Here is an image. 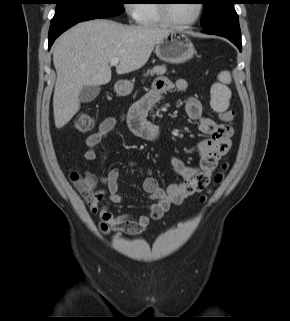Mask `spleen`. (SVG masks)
Masks as SVG:
<instances>
[{
    "mask_svg": "<svg viewBox=\"0 0 290 321\" xmlns=\"http://www.w3.org/2000/svg\"><path fill=\"white\" fill-rule=\"evenodd\" d=\"M219 83L212 85L210 94V105L216 112H224L229 107V100L231 98V90L227 84L231 83V74L228 71H223L218 75Z\"/></svg>",
    "mask_w": 290,
    "mask_h": 321,
    "instance_id": "1",
    "label": "spleen"
}]
</instances>
